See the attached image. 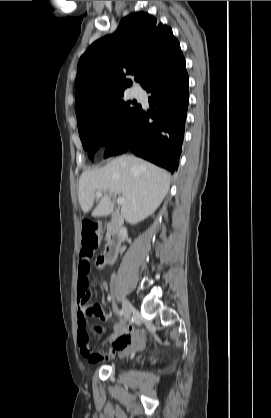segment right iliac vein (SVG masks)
Returning <instances> with one entry per match:
<instances>
[{"instance_id": "right-iliac-vein-1", "label": "right iliac vein", "mask_w": 271, "mask_h": 418, "mask_svg": "<svg viewBox=\"0 0 271 418\" xmlns=\"http://www.w3.org/2000/svg\"><path fill=\"white\" fill-rule=\"evenodd\" d=\"M133 311V306L131 305V303L128 300H124L123 301V312H124V317L126 320H128L130 318L131 312Z\"/></svg>"}]
</instances>
